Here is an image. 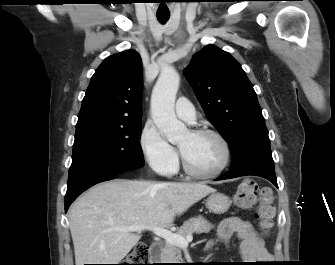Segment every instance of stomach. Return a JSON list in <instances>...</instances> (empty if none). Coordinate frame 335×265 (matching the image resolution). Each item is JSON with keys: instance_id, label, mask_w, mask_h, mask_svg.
Listing matches in <instances>:
<instances>
[{"instance_id": "stomach-1", "label": "stomach", "mask_w": 335, "mask_h": 265, "mask_svg": "<svg viewBox=\"0 0 335 265\" xmlns=\"http://www.w3.org/2000/svg\"><path fill=\"white\" fill-rule=\"evenodd\" d=\"M231 205L230 198L220 192H213L209 195L206 200V206L209 211L215 214H223L225 213Z\"/></svg>"}]
</instances>
